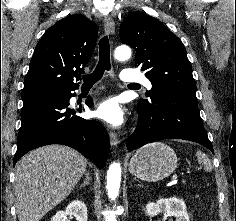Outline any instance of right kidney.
<instances>
[{
	"label": "right kidney",
	"mask_w": 236,
	"mask_h": 221,
	"mask_svg": "<svg viewBox=\"0 0 236 221\" xmlns=\"http://www.w3.org/2000/svg\"><path fill=\"white\" fill-rule=\"evenodd\" d=\"M73 216L77 221H87V207L84 202L75 200L71 202L65 211L57 212L51 219V221H67V216Z\"/></svg>",
	"instance_id": "ca27d5eb"
}]
</instances>
